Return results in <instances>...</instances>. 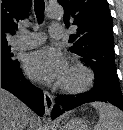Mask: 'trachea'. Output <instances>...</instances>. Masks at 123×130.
Segmentation results:
<instances>
[{"mask_svg":"<svg viewBox=\"0 0 123 130\" xmlns=\"http://www.w3.org/2000/svg\"><path fill=\"white\" fill-rule=\"evenodd\" d=\"M44 10H45L44 0H34V11L37 17V21L39 23L43 22Z\"/></svg>","mask_w":123,"mask_h":130,"instance_id":"obj_1","label":"trachea"}]
</instances>
